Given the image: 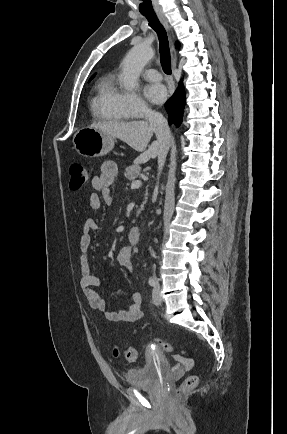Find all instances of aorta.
<instances>
[{
  "label": "aorta",
  "instance_id": "aorta-1",
  "mask_svg": "<svg viewBox=\"0 0 287 434\" xmlns=\"http://www.w3.org/2000/svg\"><path fill=\"white\" fill-rule=\"evenodd\" d=\"M154 51L145 44L135 45L122 62L121 81L127 90H133L145 65L153 58Z\"/></svg>",
  "mask_w": 287,
  "mask_h": 434
}]
</instances>
